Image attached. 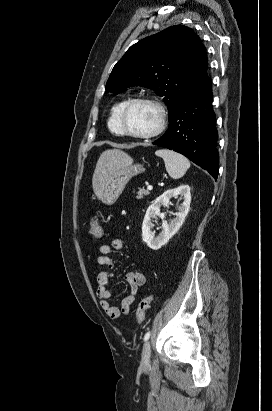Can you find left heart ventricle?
<instances>
[{"mask_svg": "<svg viewBox=\"0 0 272 411\" xmlns=\"http://www.w3.org/2000/svg\"><path fill=\"white\" fill-rule=\"evenodd\" d=\"M157 122V111L152 106L143 103L132 105L124 118L126 129L137 134L152 131Z\"/></svg>", "mask_w": 272, "mask_h": 411, "instance_id": "1", "label": "left heart ventricle"}]
</instances>
